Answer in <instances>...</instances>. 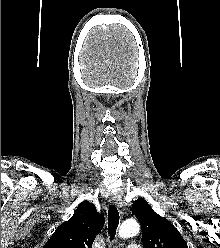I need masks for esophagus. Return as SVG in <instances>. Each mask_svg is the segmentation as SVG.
<instances>
[{"instance_id":"34e87169","label":"esophagus","mask_w":220,"mask_h":248,"mask_svg":"<svg viewBox=\"0 0 220 248\" xmlns=\"http://www.w3.org/2000/svg\"><path fill=\"white\" fill-rule=\"evenodd\" d=\"M109 201L115 206L122 207V199L118 194H111Z\"/></svg>"}]
</instances>
